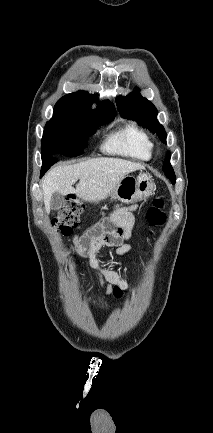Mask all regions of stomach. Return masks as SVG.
Segmentation results:
<instances>
[{"mask_svg": "<svg viewBox=\"0 0 213 433\" xmlns=\"http://www.w3.org/2000/svg\"><path fill=\"white\" fill-rule=\"evenodd\" d=\"M154 182L147 174L137 178L125 176L109 194L112 199L122 203L132 204L148 198L154 192Z\"/></svg>", "mask_w": 213, "mask_h": 433, "instance_id": "1", "label": "stomach"}]
</instances>
